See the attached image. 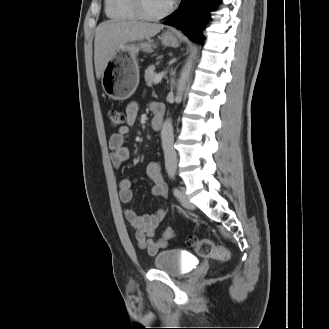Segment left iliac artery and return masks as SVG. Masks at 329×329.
<instances>
[{
    "instance_id": "obj_1",
    "label": "left iliac artery",
    "mask_w": 329,
    "mask_h": 329,
    "mask_svg": "<svg viewBox=\"0 0 329 329\" xmlns=\"http://www.w3.org/2000/svg\"><path fill=\"white\" fill-rule=\"evenodd\" d=\"M169 177L174 180L175 178V174L173 172L169 173ZM173 194L176 196V197H179L181 195V192L178 188H174L173 189Z\"/></svg>"
}]
</instances>
